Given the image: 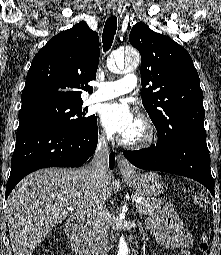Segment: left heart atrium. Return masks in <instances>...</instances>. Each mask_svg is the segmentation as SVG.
<instances>
[{
    "label": "left heart atrium",
    "mask_w": 221,
    "mask_h": 255,
    "mask_svg": "<svg viewBox=\"0 0 221 255\" xmlns=\"http://www.w3.org/2000/svg\"><path fill=\"white\" fill-rule=\"evenodd\" d=\"M100 120L108 134L124 136L135 124L133 111L126 103L110 102L100 111Z\"/></svg>",
    "instance_id": "left-heart-atrium-1"
}]
</instances>
